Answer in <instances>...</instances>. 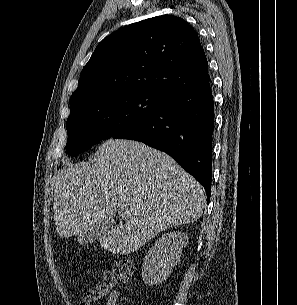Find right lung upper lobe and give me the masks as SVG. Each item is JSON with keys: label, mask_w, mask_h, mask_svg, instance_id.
I'll use <instances>...</instances> for the list:
<instances>
[{"label": "right lung upper lobe", "mask_w": 297, "mask_h": 305, "mask_svg": "<svg viewBox=\"0 0 297 305\" xmlns=\"http://www.w3.org/2000/svg\"><path fill=\"white\" fill-rule=\"evenodd\" d=\"M209 81L208 62L195 30L182 18L161 15L105 37L81 72L70 111L122 93L168 97Z\"/></svg>", "instance_id": "cb5924a9"}]
</instances>
